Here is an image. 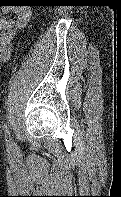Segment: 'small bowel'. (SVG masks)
<instances>
[{
  "mask_svg": "<svg viewBox=\"0 0 121 197\" xmlns=\"http://www.w3.org/2000/svg\"><path fill=\"white\" fill-rule=\"evenodd\" d=\"M0 64L9 61L12 53L11 44L19 30L26 27L30 12L22 5H0ZM14 12L15 17H6Z\"/></svg>",
  "mask_w": 121,
  "mask_h": 197,
  "instance_id": "obj_1",
  "label": "small bowel"
}]
</instances>
